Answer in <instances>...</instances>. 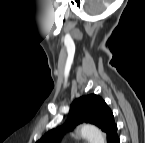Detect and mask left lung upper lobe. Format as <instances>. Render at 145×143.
<instances>
[{
  "label": "left lung upper lobe",
  "mask_w": 145,
  "mask_h": 143,
  "mask_svg": "<svg viewBox=\"0 0 145 143\" xmlns=\"http://www.w3.org/2000/svg\"><path fill=\"white\" fill-rule=\"evenodd\" d=\"M82 122L91 123L101 128L107 134L108 143H111L118 136L113 113L100 96L90 94L76 99L70 107L65 125L50 130L38 143H58L65 131L72 130Z\"/></svg>",
  "instance_id": "5c2ea615"
}]
</instances>
